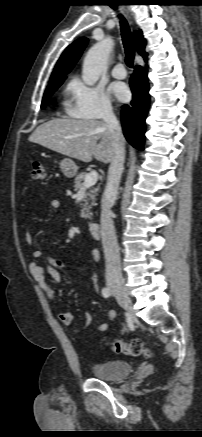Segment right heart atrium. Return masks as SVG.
I'll list each match as a JSON object with an SVG mask.
<instances>
[{"mask_svg":"<svg viewBox=\"0 0 202 437\" xmlns=\"http://www.w3.org/2000/svg\"><path fill=\"white\" fill-rule=\"evenodd\" d=\"M67 113L75 118L97 120L113 113L111 99L100 86L87 85L75 79L69 85Z\"/></svg>","mask_w":202,"mask_h":437,"instance_id":"1","label":"right heart atrium"}]
</instances>
